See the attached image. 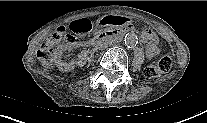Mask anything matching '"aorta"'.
Here are the masks:
<instances>
[{"label": "aorta", "instance_id": "obj_1", "mask_svg": "<svg viewBox=\"0 0 207 123\" xmlns=\"http://www.w3.org/2000/svg\"><path fill=\"white\" fill-rule=\"evenodd\" d=\"M124 41L127 46L132 47L137 44V36L134 33H127Z\"/></svg>", "mask_w": 207, "mask_h": 123}]
</instances>
